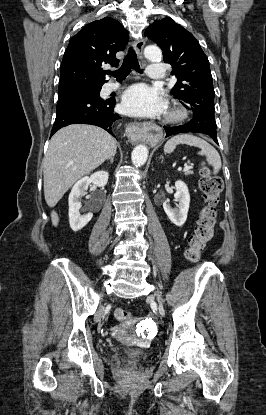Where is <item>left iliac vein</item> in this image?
<instances>
[{"instance_id": "obj_1", "label": "left iliac vein", "mask_w": 266, "mask_h": 415, "mask_svg": "<svg viewBox=\"0 0 266 415\" xmlns=\"http://www.w3.org/2000/svg\"><path fill=\"white\" fill-rule=\"evenodd\" d=\"M155 296L157 297V299H158V301H159L160 306H162L163 300H162L161 293H160L159 291H157V292L155 293Z\"/></svg>"}]
</instances>
